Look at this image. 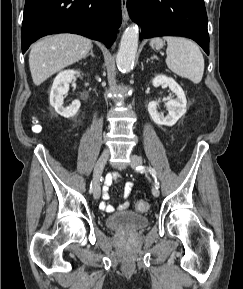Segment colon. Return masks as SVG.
<instances>
[{"label":"colon","mask_w":243,"mask_h":289,"mask_svg":"<svg viewBox=\"0 0 243 289\" xmlns=\"http://www.w3.org/2000/svg\"><path fill=\"white\" fill-rule=\"evenodd\" d=\"M42 130L41 126L38 124V121H34L33 131L39 133ZM134 208L139 213H145L149 210V204L146 201L139 200L135 203Z\"/></svg>","instance_id":"colon-1"}]
</instances>
